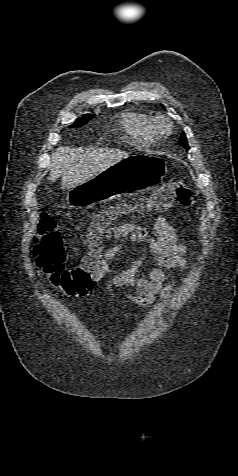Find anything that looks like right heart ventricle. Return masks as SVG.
<instances>
[{"mask_svg":"<svg viewBox=\"0 0 238 476\" xmlns=\"http://www.w3.org/2000/svg\"><path fill=\"white\" fill-rule=\"evenodd\" d=\"M122 127L131 141L138 146L148 147L156 142L152 119L143 113H125L122 117Z\"/></svg>","mask_w":238,"mask_h":476,"instance_id":"right-heart-ventricle-1","label":"right heart ventricle"}]
</instances>
